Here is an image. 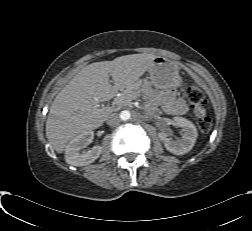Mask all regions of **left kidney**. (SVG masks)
Masks as SVG:
<instances>
[{
  "label": "left kidney",
  "mask_w": 252,
  "mask_h": 231,
  "mask_svg": "<svg viewBox=\"0 0 252 231\" xmlns=\"http://www.w3.org/2000/svg\"><path fill=\"white\" fill-rule=\"evenodd\" d=\"M173 121L176 126L182 128V137L177 141L166 138L161 133L159 137L164 142V146L169 152L175 155H183L193 148L198 136L197 129L191 121L183 117L176 116L173 118Z\"/></svg>",
  "instance_id": "left-kidney-1"
}]
</instances>
